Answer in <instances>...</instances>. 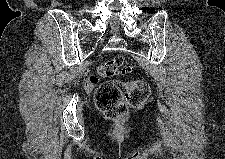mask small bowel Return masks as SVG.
Wrapping results in <instances>:
<instances>
[{
  "label": "small bowel",
  "instance_id": "c3829d8e",
  "mask_svg": "<svg viewBox=\"0 0 225 159\" xmlns=\"http://www.w3.org/2000/svg\"><path fill=\"white\" fill-rule=\"evenodd\" d=\"M98 80H96L94 77H90L85 81V89L87 91L93 90L95 85L97 84Z\"/></svg>",
  "mask_w": 225,
  "mask_h": 159
}]
</instances>
